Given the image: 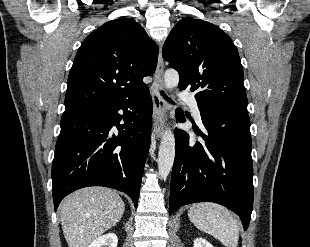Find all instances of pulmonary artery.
Masks as SVG:
<instances>
[{
    "mask_svg": "<svg viewBox=\"0 0 310 247\" xmlns=\"http://www.w3.org/2000/svg\"><path fill=\"white\" fill-rule=\"evenodd\" d=\"M180 97L190 107L192 113L194 114L198 122H201V114L199 110L198 101L196 100V98L188 93H182Z\"/></svg>",
    "mask_w": 310,
    "mask_h": 247,
    "instance_id": "e3ab8cb5",
    "label": "pulmonary artery"
}]
</instances>
